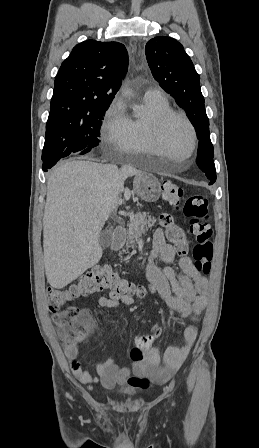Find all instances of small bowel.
<instances>
[{
    "label": "small bowel",
    "mask_w": 259,
    "mask_h": 448,
    "mask_svg": "<svg viewBox=\"0 0 259 448\" xmlns=\"http://www.w3.org/2000/svg\"><path fill=\"white\" fill-rule=\"evenodd\" d=\"M177 253L176 247L165 240L164 231L158 229L153 237L150 261L146 272L152 287L163 301L171 309L180 313L181 324L184 327L183 344L167 349L163 358L157 348H150L143 361L135 362L130 367H120L113 358L93 362L92 365L98 378L93 377L82 368L78 361L79 353L76 346L66 347L65 355L74 375L81 383L90 384L99 381L106 389H111L118 384L145 389L148 387L146 378L164 383L181 367L197 338L196 326L186 324L185 321L196 320L205 309L209 281L196 269L189 256H182L179 259V271L169 266L176 259ZM157 258L168 265L163 268L156 266L154 260ZM132 303L133 297L129 294H110L109 297H100L98 300V304L106 308H117L121 305L131 306ZM152 332L160 336L162 329L155 324L152 327Z\"/></svg>",
    "instance_id": "obj_1"
}]
</instances>
